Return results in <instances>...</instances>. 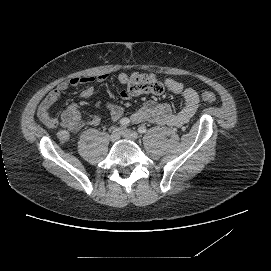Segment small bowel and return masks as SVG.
<instances>
[{"mask_svg":"<svg viewBox=\"0 0 271 271\" xmlns=\"http://www.w3.org/2000/svg\"><path fill=\"white\" fill-rule=\"evenodd\" d=\"M107 79L108 75L101 74L92 77H74L59 83L41 102L38 109L39 118L48 127L60 126L62 128L58 134V138L61 142L71 140L72 135L85 126L98 125L102 117L94 114H85L77 103H71L65 108L60 113L58 119L52 116L50 108L69 87H77L86 84L87 86L80 92V97L89 98L94 93L93 83H103L107 81ZM128 79L129 77L124 73L119 75V80L124 85L127 84ZM165 86L171 92L182 96V107L178 111H174L169 104L147 101L131 116L133 123L150 122L160 125L181 126L194 116L199 106L198 93L194 89L185 88L182 83L171 78L165 80ZM121 95L125 99L131 97L126 89L121 92ZM106 108L110 117L114 120L123 115V108L118 105L106 104Z\"/></svg>","mask_w":271,"mask_h":271,"instance_id":"1","label":"small bowel"}]
</instances>
